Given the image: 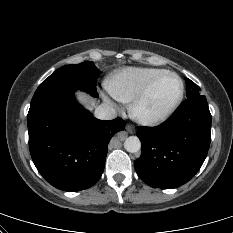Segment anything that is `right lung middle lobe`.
<instances>
[{
  "label": "right lung middle lobe",
  "instance_id": "obj_1",
  "mask_svg": "<svg viewBox=\"0 0 233 233\" xmlns=\"http://www.w3.org/2000/svg\"><path fill=\"white\" fill-rule=\"evenodd\" d=\"M100 71L93 62L66 65L57 69L37 88L31 103L53 94L74 92L77 89L97 96L96 80Z\"/></svg>",
  "mask_w": 233,
  "mask_h": 233
}]
</instances>
